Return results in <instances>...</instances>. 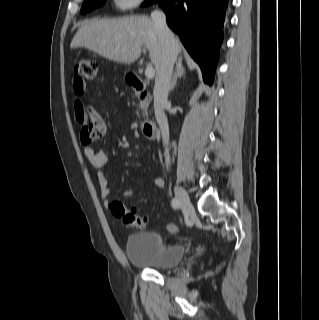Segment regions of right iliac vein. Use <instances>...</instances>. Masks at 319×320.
Masks as SVG:
<instances>
[{
	"label": "right iliac vein",
	"instance_id": "obj_1",
	"mask_svg": "<svg viewBox=\"0 0 319 320\" xmlns=\"http://www.w3.org/2000/svg\"><path fill=\"white\" fill-rule=\"evenodd\" d=\"M174 192H175L176 198L178 199L183 211L185 213L191 212L193 210V206L190 202V198L188 196V193L185 191V189L179 185H175Z\"/></svg>",
	"mask_w": 319,
	"mask_h": 320
}]
</instances>
